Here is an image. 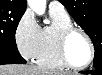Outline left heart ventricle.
<instances>
[{
  "label": "left heart ventricle",
  "mask_w": 102,
  "mask_h": 75,
  "mask_svg": "<svg viewBox=\"0 0 102 75\" xmlns=\"http://www.w3.org/2000/svg\"><path fill=\"white\" fill-rule=\"evenodd\" d=\"M67 53L73 63L86 59L90 54L87 40L81 33H74L67 42Z\"/></svg>",
  "instance_id": "b2bd125f"
}]
</instances>
